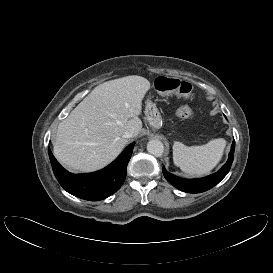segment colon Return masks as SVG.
<instances>
[{"label":"colon","mask_w":273,"mask_h":273,"mask_svg":"<svg viewBox=\"0 0 273 273\" xmlns=\"http://www.w3.org/2000/svg\"><path fill=\"white\" fill-rule=\"evenodd\" d=\"M157 90L163 94L177 96L185 100L193 97V88L189 82L167 77H158L155 82ZM177 115L187 119L192 116V110L187 105L178 108Z\"/></svg>","instance_id":"1"}]
</instances>
